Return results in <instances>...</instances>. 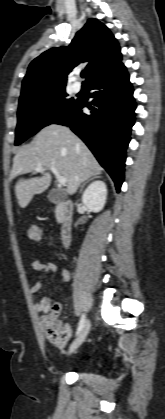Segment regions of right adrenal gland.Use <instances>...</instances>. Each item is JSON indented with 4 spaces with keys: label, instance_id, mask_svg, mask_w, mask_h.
<instances>
[{
    "label": "right adrenal gland",
    "instance_id": "2a0ac1e0",
    "mask_svg": "<svg viewBox=\"0 0 165 419\" xmlns=\"http://www.w3.org/2000/svg\"><path fill=\"white\" fill-rule=\"evenodd\" d=\"M95 178H99V176H94V177H92V178L88 179L86 182H84V183L81 185L80 192L82 191V189H83V187L85 186V184H87L89 181H91V180H93V179H95Z\"/></svg>",
    "mask_w": 165,
    "mask_h": 419
}]
</instances>
